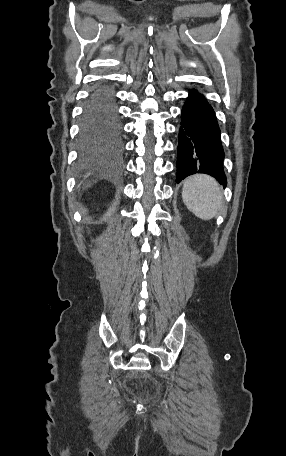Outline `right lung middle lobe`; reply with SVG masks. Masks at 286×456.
<instances>
[{"label": "right lung middle lobe", "instance_id": "obj_1", "mask_svg": "<svg viewBox=\"0 0 286 456\" xmlns=\"http://www.w3.org/2000/svg\"><path fill=\"white\" fill-rule=\"evenodd\" d=\"M107 131L116 133V125H107L94 119L83 120V133L89 138L98 137L105 134Z\"/></svg>", "mask_w": 286, "mask_h": 456}]
</instances>
